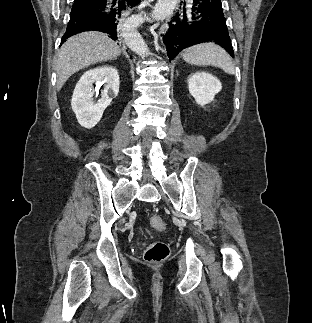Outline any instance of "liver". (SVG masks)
<instances>
[{"instance_id": "1", "label": "liver", "mask_w": 312, "mask_h": 323, "mask_svg": "<svg viewBox=\"0 0 312 323\" xmlns=\"http://www.w3.org/2000/svg\"><path fill=\"white\" fill-rule=\"evenodd\" d=\"M120 54L121 50L116 42L103 32H82L68 38L61 46L56 60L58 92L75 72L97 62H107Z\"/></svg>"}]
</instances>
